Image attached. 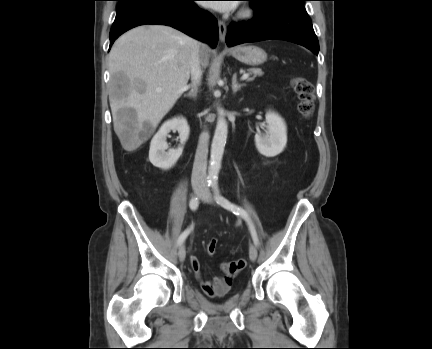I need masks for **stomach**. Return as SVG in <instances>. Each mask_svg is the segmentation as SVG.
Wrapping results in <instances>:
<instances>
[{
    "label": "stomach",
    "instance_id": "0dacf381",
    "mask_svg": "<svg viewBox=\"0 0 432 349\" xmlns=\"http://www.w3.org/2000/svg\"><path fill=\"white\" fill-rule=\"evenodd\" d=\"M231 55L246 65L257 66L267 60L266 52L254 45H241L230 50Z\"/></svg>",
    "mask_w": 432,
    "mask_h": 349
}]
</instances>
